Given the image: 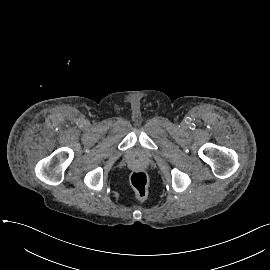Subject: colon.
<instances>
[{
	"label": "colon",
	"instance_id": "obj_1",
	"mask_svg": "<svg viewBox=\"0 0 270 270\" xmlns=\"http://www.w3.org/2000/svg\"><path fill=\"white\" fill-rule=\"evenodd\" d=\"M136 199L141 200L146 197L148 192V178L142 171H136L130 178Z\"/></svg>",
	"mask_w": 270,
	"mask_h": 270
}]
</instances>
